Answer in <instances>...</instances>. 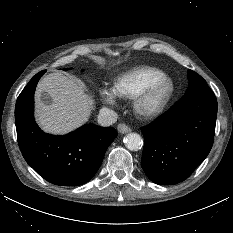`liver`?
<instances>
[{
    "label": "liver",
    "instance_id": "liver-1",
    "mask_svg": "<svg viewBox=\"0 0 233 233\" xmlns=\"http://www.w3.org/2000/svg\"><path fill=\"white\" fill-rule=\"evenodd\" d=\"M43 92L51 96L50 105L41 100ZM35 97L36 120L44 131L53 134L68 133L86 123L94 104L80 85L59 72L40 81Z\"/></svg>",
    "mask_w": 233,
    "mask_h": 233
}]
</instances>
